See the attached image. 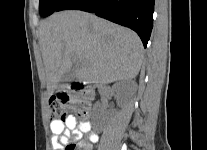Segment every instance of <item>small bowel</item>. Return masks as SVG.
Here are the masks:
<instances>
[{"label": "small bowel", "mask_w": 207, "mask_h": 150, "mask_svg": "<svg viewBox=\"0 0 207 150\" xmlns=\"http://www.w3.org/2000/svg\"><path fill=\"white\" fill-rule=\"evenodd\" d=\"M50 130L53 134L52 148L54 150H66L72 141H78L76 147L79 150H92L93 144L98 141V136L91 130L89 121L78 122L72 114L64 120H52Z\"/></svg>", "instance_id": "1"}]
</instances>
